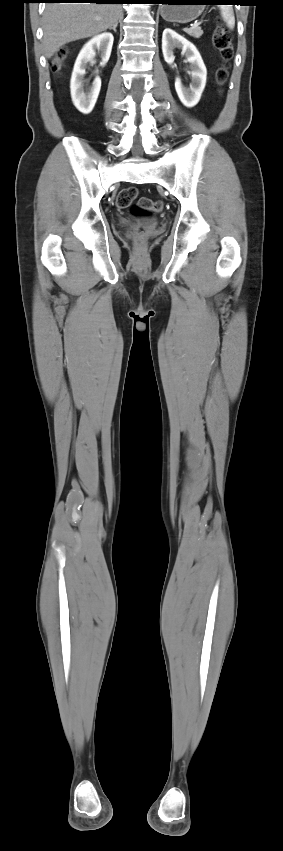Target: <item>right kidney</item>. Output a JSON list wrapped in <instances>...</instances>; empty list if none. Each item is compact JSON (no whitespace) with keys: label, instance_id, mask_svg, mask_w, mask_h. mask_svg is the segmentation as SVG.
Here are the masks:
<instances>
[{"label":"right kidney","instance_id":"obj_1","mask_svg":"<svg viewBox=\"0 0 283 851\" xmlns=\"http://www.w3.org/2000/svg\"><path fill=\"white\" fill-rule=\"evenodd\" d=\"M114 37L111 33H102L89 40L81 49L74 64L70 89L71 97L75 107L83 114H89L97 101L101 79L97 76L90 87L85 86L84 75L88 63L92 62L96 50L101 54V65L107 63L110 58Z\"/></svg>","mask_w":283,"mask_h":851}]
</instances>
